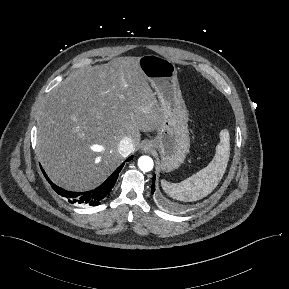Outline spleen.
I'll return each instance as SVG.
<instances>
[{"label": "spleen", "instance_id": "obj_1", "mask_svg": "<svg viewBox=\"0 0 289 289\" xmlns=\"http://www.w3.org/2000/svg\"><path fill=\"white\" fill-rule=\"evenodd\" d=\"M220 138L221 142L216 147L215 156L205 168L180 183L161 180L163 190L171 198L186 202L196 201L217 187L225 173L230 155L228 131L222 130Z\"/></svg>", "mask_w": 289, "mask_h": 289}]
</instances>
